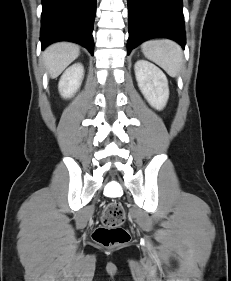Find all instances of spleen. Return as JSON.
Wrapping results in <instances>:
<instances>
[{"label":"spleen","mask_w":231,"mask_h":281,"mask_svg":"<svg viewBox=\"0 0 231 281\" xmlns=\"http://www.w3.org/2000/svg\"><path fill=\"white\" fill-rule=\"evenodd\" d=\"M145 57L163 68L171 77H176L182 67L181 47L171 40H153L141 45Z\"/></svg>","instance_id":"3e777b00"}]
</instances>
